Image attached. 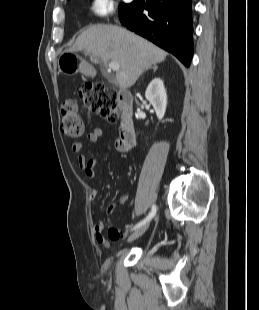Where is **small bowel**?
<instances>
[{"label": "small bowel", "mask_w": 259, "mask_h": 310, "mask_svg": "<svg viewBox=\"0 0 259 310\" xmlns=\"http://www.w3.org/2000/svg\"><path fill=\"white\" fill-rule=\"evenodd\" d=\"M103 137V130L101 128H95L92 132L87 135V140L92 144H97ZM72 151L78 155L77 161L79 167L84 171L85 175L88 178H94L96 176V160L92 158H87L83 153V145L79 142H72L71 144ZM98 189H93L91 191V198L96 199L98 197ZM112 212V208L108 210V213ZM105 228L104 221H98L93 225V233L97 243L103 247L109 245L108 240L103 235V230ZM128 232V229L118 230L114 227H111L108 230V235L111 239H119Z\"/></svg>", "instance_id": "c3829d8e"}]
</instances>
